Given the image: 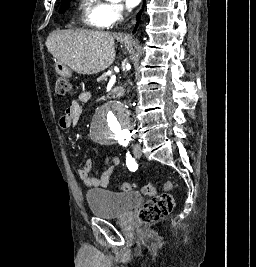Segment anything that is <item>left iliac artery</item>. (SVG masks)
<instances>
[{
	"label": "left iliac artery",
	"mask_w": 256,
	"mask_h": 267,
	"mask_svg": "<svg viewBox=\"0 0 256 267\" xmlns=\"http://www.w3.org/2000/svg\"><path fill=\"white\" fill-rule=\"evenodd\" d=\"M119 143H120L121 145H123V146H127V143L124 142V141H119ZM126 165H127L128 169H129L130 171H132V170H136L137 167H138L137 163L135 162V159L132 158V156L130 155L129 151H128L127 154H126Z\"/></svg>",
	"instance_id": "44dca946"
}]
</instances>
